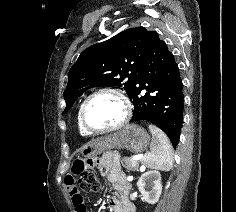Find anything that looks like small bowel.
I'll use <instances>...</instances> for the list:
<instances>
[{"instance_id": "obj_1", "label": "small bowel", "mask_w": 236, "mask_h": 212, "mask_svg": "<svg viewBox=\"0 0 236 212\" xmlns=\"http://www.w3.org/2000/svg\"><path fill=\"white\" fill-rule=\"evenodd\" d=\"M113 157L114 155L109 154L103 156L100 160L103 174L107 176L115 190L109 202L110 207L113 212H135L133 203L127 197L130 185L118 162L112 160ZM75 184H78V175L75 174L73 168L72 174L67 175L65 179V185L71 197L75 212H86L83 196Z\"/></svg>"}]
</instances>
